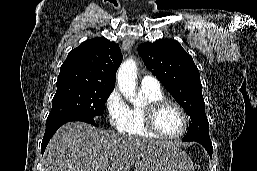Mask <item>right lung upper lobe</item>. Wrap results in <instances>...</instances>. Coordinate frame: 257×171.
I'll return each mask as SVG.
<instances>
[{"label": "right lung upper lobe", "instance_id": "right-lung-upper-lobe-1", "mask_svg": "<svg viewBox=\"0 0 257 171\" xmlns=\"http://www.w3.org/2000/svg\"><path fill=\"white\" fill-rule=\"evenodd\" d=\"M121 61L118 44L98 37L86 40L69 52L60 68L57 88L70 84L114 88Z\"/></svg>", "mask_w": 257, "mask_h": 171}]
</instances>
